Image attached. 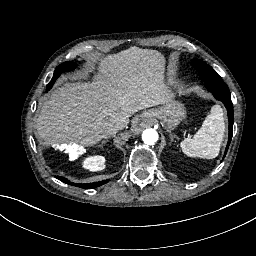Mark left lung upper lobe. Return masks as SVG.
Segmentation results:
<instances>
[{
    "mask_svg": "<svg viewBox=\"0 0 256 256\" xmlns=\"http://www.w3.org/2000/svg\"><path fill=\"white\" fill-rule=\"evenodd\" d=\"M191 65L199 71L201 79L205 82L206 88L213 93L215 98L222 101L227 108L229 118V138L223 158L225 157L233 132V104L228 86L222 81L221 77L214 71L212 67L204 61L193 59Z\"/></svg>",
    "mask_w": 256,
    "mask_h": 256,
    "instance_id": "left-lung-upper-lobe-1",
    "label": "left lung upper lobe"
}]
</instances>
